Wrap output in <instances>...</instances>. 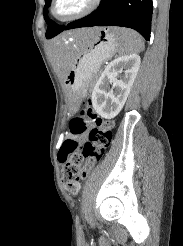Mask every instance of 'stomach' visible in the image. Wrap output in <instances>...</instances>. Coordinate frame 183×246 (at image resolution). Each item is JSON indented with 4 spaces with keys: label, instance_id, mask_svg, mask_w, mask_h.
<instances>
[{
    "label": "stomach",
    "instance_id": "stomach-1",
    "mask_svg": "<svg viewBox=\"0 0 183 246\" xmlns=\"http://www.w3.org/2000/svg\"><path fill=\"white\" fill-rule=\"evenodd\" d=\"M120 32V28H99L90 40H82V42L63 41L65 49L73 56L72 67L64 79L68 91L70 111L73 112L78 108L81 98L86 94L88 83L99 70L101 64L117 51L121 44Z\"/></svg>",
    "mask_w": 183,
    "mask_h": 246
}]
</instances>
